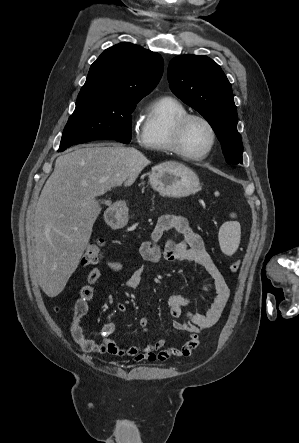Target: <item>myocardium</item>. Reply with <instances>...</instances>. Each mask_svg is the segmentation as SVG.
<instances>
[{"label":"myocardium","instance_id":"obj_1","mask_svg":"<svg viewBox=\"0 0 299 443\" xmlns=\"http://www.w3.org/2000/svg\"><path fill=\"white\" fill-rule=\"evenodd\" d=\"M192 119H198L202 121L207 128L209 129L211 141L207 150L201 154H190L183 147V134L188 122ZM217 141L216 131L212 123L203 115L196 113H186L180 116L174 123L173 131H172V146L174 152L180 155L181 157L189 160H202L206 158L214 149Z\"/></svg>","mask_w":299,"mask_h":443}]
</instances>
